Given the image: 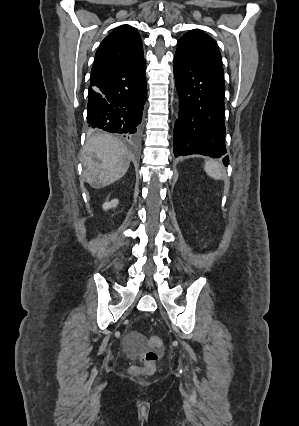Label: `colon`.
<instances>
[{
	"instance_id": "1",
	"label": "colon",
	"mask_w": 299,
	"mask_h": 426,
	"mask_svg": "<svg viewBox=\"0 0 299 426\" xmlns=\"http://www.w3.org/2000/svg\"><path fill=\"white\" fill-rule=\"evenodd\" d=\"M147 343L150 347L142 355V360L145 364V367H134L131 369V372L134 374H150L154 370L155 363L159 359V349L162 347V340L157 336H152L147 339Z\"/></svg>"
}]
</instances>
